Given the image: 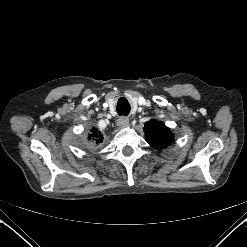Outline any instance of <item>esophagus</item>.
<instances>
[{"label": "esophagus", "instance_id": "34e87169", "mask_svg": "<svg viewBox=\"0 0 247 247\" xmlns=\"http://www.w3.org/2000/svg\"><path fill=\"white\" fill-rule=\"evenodd\" d=\"M128 124H129V118L125 116L120 117L117 121V126L119 128H125L128 126Z\"/></svg>", "mask_w": 247, "mask_h": 247}]
</instances>
